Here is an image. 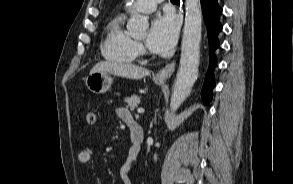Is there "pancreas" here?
Returning a JSON list of instances; mask_svg holds the SVG:
<instances>
[{
    "mask_svg": "<svg viewBox=\"0 0 293 184\" xmlns=\"http://www.w3.org/2000/svg\"><path fill=\"white\" fill-rule=\"evenodd\" d=\"M124 101L127 103V107H129L130 110L133 111L135 108H137L140 97L132 95L131 97L125 98Z\"/></svg>",
    "mask_w": 293,
    "mask_h": 184,
    "instance_id": "cf45deb5",
    "label": "pancreas"
}]
</instances>
